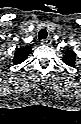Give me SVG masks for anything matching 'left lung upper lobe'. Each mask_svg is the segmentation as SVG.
<instances>
[{
	"mask_svg": "<svg viewBox=\"0 0 81 124\" xmlns=\"http://www.w3.org/2000/svg\"><path fill=\"white\" fill-rule=\"evenodd\" d=\"M76 61V54L73 50H69L63 57V62L71 67H74Z\"/></svg>",
	"mask_w": 81,
	"mask_h": 124,
	"instance_id": "1",
	"label": "left lung upper lobe"
}]
</instances>
